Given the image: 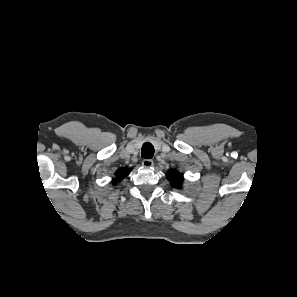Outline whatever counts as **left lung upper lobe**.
Here are the masks:
<instances>
[{"label":"left lung upper lobe","instance_id":"5c2ea615","mask_svg":"<svg viewBox=\"0 0 297 297\" xmlns=\"http://www.w3.org/2000/svg\"><path fill=\"white\" fill-rule=\"evenodd\" d=\"M168 179L171 180V186L174 188H179L181 186V183L183 181V175L180 173H177V171H169L167 173Z\"/></svg>","mask_w":297,"mask_h":297}]
</instances>
